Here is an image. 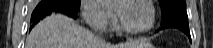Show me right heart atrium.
<instances>
[{"label":"right heart atrium","mask_w":213,"mask_h":48,"mask_svg":"<svg viewBox=\"0 0 213 48\" xmlns=\"http://www.w3.org/2000/svg\"><path fill=\"white\" fill-rule=\"evenodd\" d=\"M81 12L85 22L96 31L105 32L114 22L113 13L96 0H83Z\"/></svg>","instance_id":"1"}]
</instances>
